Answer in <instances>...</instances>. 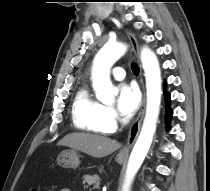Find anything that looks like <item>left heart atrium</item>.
Returning <instances> with one entry per match:
<instances>
[{
  "mask_svg": "<svg viewBox=\"0 0 210 191\" xmlns=\"http://www.w3.org/2000/svg\"><path fill=\"white\" fill-rule=\"evenodd\" d=\"M141 95L133 84L122 83L119 85L118 110L124 117L132 116L138 109Z\"/></svg>",
  "mask_w": 210,
  "mask_h": 191,
  "instance_id": "39dd6f15",
  "label": "left heart atrium"
}]
</instances>
